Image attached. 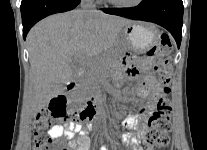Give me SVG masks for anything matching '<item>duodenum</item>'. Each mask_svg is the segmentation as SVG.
<instances>
[{
  "label": "duodenum",
  "mask_w": 207,
  "mask_h": 150,
  "mask_svg": "<svg viewBox=\"0 0 207 150\" xmlns=\"http://www.w3.org/2000/svg\"><path fill=\"white\" fill-rule=\"evenodd\" d=\"M78 88V84L76 81H72L68 84L67 86V90L68 91H74ZM96 103H97V100L96 99H92L90 100L84 107H82L80 109V113L84 114V115H94L95 113V107H96Z\"/></svg>",
  "instance_id": "1"
}]
</instances>
